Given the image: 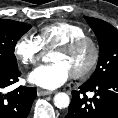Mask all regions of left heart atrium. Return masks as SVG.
Returning <instances> with one entry per match:
<instances>
[{"instance_id": "left-heart-atrium-1", "label": "left heart atrium", "mask_w": 118, "mask_h": 118, "mask_svg": "<svg viewBox=\"0 0 118 118\" xmlns=\"http://www.w3.org/2000/svg\"><path fill=\"white\" fill-rule=\"evenodd\" d=\"M70 77V72L62 63L39 66L28 79L31 83L46 89H55L63 85Z\"/></svg>"}]
</instances>
